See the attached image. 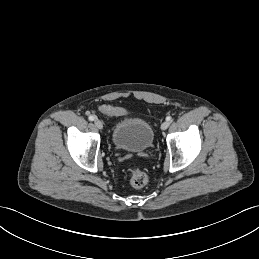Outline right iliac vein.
<instances>
[{
    "label": "right iliac vein",
    "mask_w": 259,
    "mask_h": 259,
    "mask_svg": "<svg viewBox=\"0 0 259 259\" xmlns=\"http://www.w3.org/2000/svg\"><path fill=\"white\" fill-rule=\"evenodd\" d=\"M94 124H95V126H96L98 129H102V128H103V123H102V121L99 120V119H95V120H94Z\"/></svg>",
    "instance_id": "63e3f726"
}]
</instances>
